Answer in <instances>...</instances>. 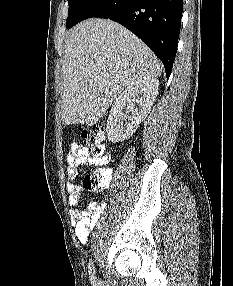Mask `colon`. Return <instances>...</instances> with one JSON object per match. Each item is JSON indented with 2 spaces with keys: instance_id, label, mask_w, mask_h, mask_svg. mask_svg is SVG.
I'll return each instance as SVG.
<instances>
[{
  "instance_id": "obj_1",
  "label": "colon",
  "mask_w": 233,
  "mask_h": 286,
  "mask_svg": "<svg viewBox=\"0 0 233 286\" xmlns=\"http://www.w3.org/2000/svg\"><path fill=\"white\" fill-rule=\"evenodd\" d=\"M82 138L89 154L97 159L104 158V131L99 125L87 126L82 129ZM112 179V171L100 168L88 174L83 180V187L87 190L99 191L107 188Z\"/></svg>"
}]
</instances>
